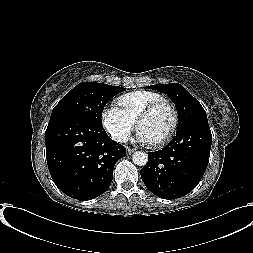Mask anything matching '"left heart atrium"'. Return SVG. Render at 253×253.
I'll list each match as a JSON object with an SVG mask.
<instances>
[{
  "label": "left heart atrium",
  "mask_w": 253,
  "mask_h": 253,
  "mask_svg": "<svg viewBox=\"0 0 253 253\" xmlns=\"http://www.w3.org/2000/svg\"><path fill=\"white\" fill-rule=\"evenodd\" d=\"M135 140H136V142L141 143V144H150L147 137L140 131L137 132Z\"/></svg>",
  "instance_id": "1"
}]
</instances>
